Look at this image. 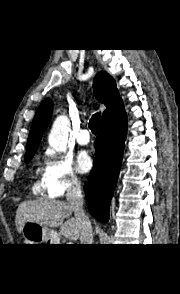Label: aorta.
I'll return each instance as SVG.
<instances>
[{"mask_svg":"<svg viewBox=\"0 0 180 294\" xmlns=\"http://www.w3.org/2000/svg\"><path fill=\"white\" fill-rule=\"evenodd\" d=\"M70 130L71 126L68 117L65 115L58 116L48 137L49 145L59 152L65 151Z\"/></svg>","mask_w":180,"mask_h":294,"instance_id":"762f6f07","label":"aorta"}]
</instances>
